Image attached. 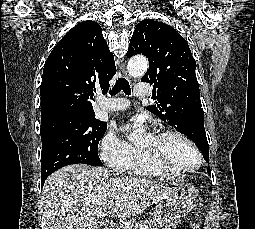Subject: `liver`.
Listing matches in <instances>:
<instances>
[{
  "label": "liver",
  "instance_id": "liver-1",
  "mask_svg": "<svg viewBox=\"0 0 255 229\" xmlns=\"http://www.w3.org/2000/svg\"><path fill=\"white\" fill-rule=\"evenodd\" d=\"M173 191L144 178H109L104 167L75 164L47 178L42 201L51 229H100V218L135 216Z\"/></svg>",
  "mask_w": 255,
  "mask_h": 229
}]
</instances>
